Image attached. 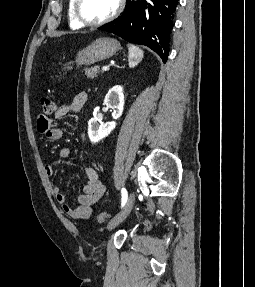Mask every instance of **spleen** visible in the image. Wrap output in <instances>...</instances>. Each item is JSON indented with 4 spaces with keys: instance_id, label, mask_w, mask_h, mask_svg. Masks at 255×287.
<instances>
[{
    "instance_id": "3e777b00",
    "label": "spleen",
    "mask_w": 255,
    "mask_h": 287,
    "mask_svg": "<svg viewBox=\"0 0 255 287\" xmlns=\"http://www.w3.org/2000/svg\"><path fill=\"white\" fill-rule=\"evenodd\" d=\"M128 50H129V66L130 68H133V66H137L139 62H141L144 52L143 50H140V48H137V46H133V44H128Z\"/></svg>"
}]
</instances>
